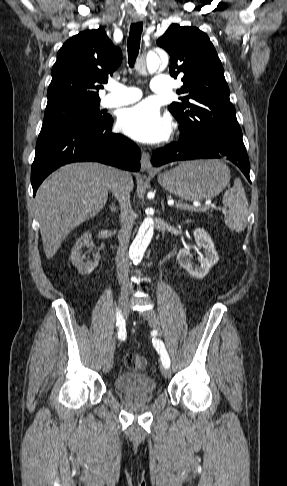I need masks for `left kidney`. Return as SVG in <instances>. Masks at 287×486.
<instances>
[{
    "label": "left kidney",
    "instance_id": "1",
    "mask_svg": "<svg viewBox=\"0 0 287 486\" xmlns=\"http://www.w3.org/2000/svg\"><path fill=\"white\" fill-rule=\"evenodd\" d=\"M198 248L204 249V257L200 259V265H194L189 257L187 249H180L177 260L191 276L202 279L209 270L218 262L219 256L214 247L210 235L202 228H196L193 232Z\"/></svg>",
    "mask_w": 287,
    "mask_h": 486
}]
</instances>
